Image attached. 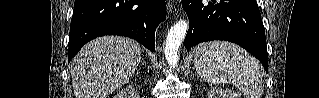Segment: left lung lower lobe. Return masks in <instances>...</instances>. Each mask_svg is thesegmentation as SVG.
Segmentation results:
<instances>
[{
	"label": "left lung lower lobe",
	"instance_id": "obj_1",
	"mask_svg": "<svg viewBox=\"0 0 319 98\" xmlns=\"http://www.w3.org/2000/svg\"><path fill=\"white\" fill-rule=\"evenodd\" d=\"M189 18L185 48L200 42L236 43L258 58L268 72L265 31L256 0H182Z\"/></svg>",
	"mask_w": 319,
	"mask_h": 98
}]
</instances>
